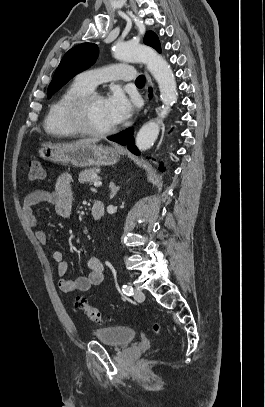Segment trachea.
Wrapping results in <instances>:
<instances>
[{"label": "trachea", "instance_id": "3493384b", "mask_svg": "<svg viewBox=\"0 0 265 407\" xmlns=\"http://www.w3.org/2000/svg\"><path fill=\"white\" fill-rule=\"evenodd\" d=\"M135 83H136V85H144L145 84V76L144 75L138 76Z\"/></svg>", "mask_w": 265, "mask_h": 407}]
</instances>
